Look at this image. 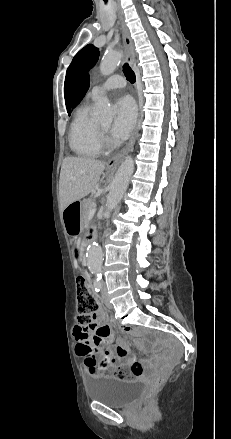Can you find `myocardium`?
Here are the masks:
<instances>
[{
  "mask_svg": "<svg viewBox=\"0 0 231 439\" xmlns=\"http://www.w3.org/2000/svg\"><path fill=\"white\" fill-rule=\"evenodd\" d=\"M105 129L104 128H100V133H104Z\"/></svg>",
  "mask_w": 231,
  "mask_h": 439,
  "instance_id": "obj_1",
  "label": "myocardium"
}]
</instances>
